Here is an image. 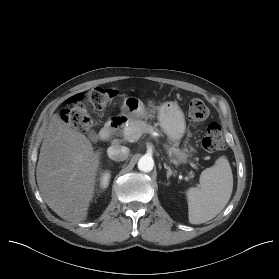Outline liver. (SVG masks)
<instances>
[{
	"instance_id": "obj_1",
	"label": "liver",
	"mask_w": 279,
	"mask_h": 279,
	"mask_svg": "<svg viewBox=\"0 0 279 279\" xmlns=\"http://www.w3.org/2000/svg\"><path fill=\"white\" fill-rule=\"evenodd\" d=\"M100 155L84 134L58 114L52 117L40 148L36 179L43 200L72 225L87 218Z\"/></svg>"
}]
</instances>
